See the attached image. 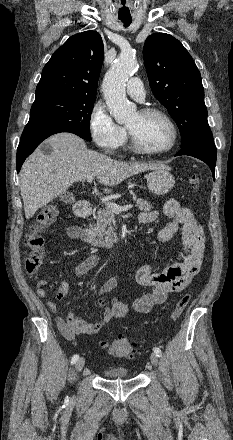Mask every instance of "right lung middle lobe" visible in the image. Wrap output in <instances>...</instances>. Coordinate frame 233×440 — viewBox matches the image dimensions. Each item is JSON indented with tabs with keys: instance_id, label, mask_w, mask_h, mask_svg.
<instances>
[{
	"instance_id": "right-lung-middle-lobe-1",
	"label": "right lung middle lobe",
	"mask_w": 233,
	"mask_h": 440,
	"mask_svg": "<svg viewBox=\"0 0 233 440\" xmlns=\"http://www.w3.org/2000/svg\"><path fill=\"white\" fill-rule=\"evenodd\" d=\"M95 100L57 97L33 103L26 126L66 128L91 141L89 123Z\"/></svg>"
}]
</instances>
